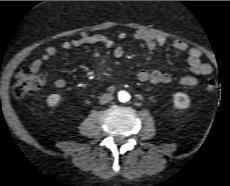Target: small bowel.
<instances>
[{"label":"small bowel","instance_id":"small-bowel-1","mask_svg":"<svg viewBox=\"0 0 230 186\" xmlns=\"http://www.w3.org/2000/svg\"><path fill=\"white\" fill-rule=\"evenodd\" d=\"M126 36L125 33L118 34L117 38L122 39ZM134 37L137 40L144 42L148 48L150 57L156 51L158 47L163 46L166 43V39L162 36H156L151 33L137 30L134 33ZM81 44H101L105 48H113L114 40L103 34H84L78 39H70L60 43V48L63 50H70L73 47L79 46ZM173 50L177 52L187 51V69L191 73L180 79V84L184 87H194L197 84V78L195 75H209L213 71L211 64L203 62L202 56L203 52L199 48H189L187 42L184 40H176L172 44ZM58 48L54 46H49L45 49L43 54L34 60L30 64V68L33 71H39L45 62H48L58 55ZM124 50L121 46H116L113 48V55L116 58L122 57ZM95 57L101 59V55L96 52ZM137 78L141 82H150L152 84H167L171 81V75L160 70H140L137 74ZM53 85L57 88H64L66 86V81L62 78H57L53 81Z\"/></svg>","mask_w":230,"mask_h":186}]
</instances>
